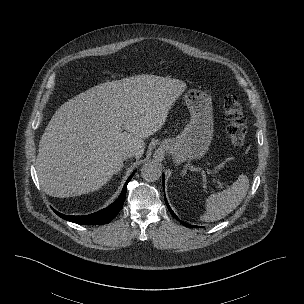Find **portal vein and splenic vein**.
Listing matches in <instances>:
<instances>
[{
  "instance_id": "obj_1",
  "label": "portal vein and splenic vein",
  "mask_w": 304,
  "mask_h": 304,
  "mask_svg": "<svg viewBox=\"0 0 304 304\" xmlns=\"http://www.w3.org/2000/svg\"><path fill=\"white\" fill-rule=\"evenodd\" d=\"M213 182L216 183L218 185V187H222V184L219 180H217L216 178L213 179Z\"/></svg>"
}]
</instances>
